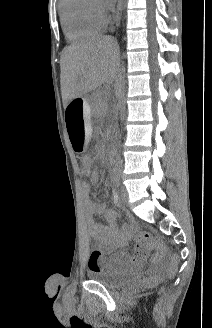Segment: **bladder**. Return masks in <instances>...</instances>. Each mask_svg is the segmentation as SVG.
I'll list each match as a JSON object with an SVG mask.
<instances>
[{
	"instance_id": "bladder-1",
	"label": "bladder",
	"mask_w": 212,
	"mask_h": 328,
	"mask_svg": "<svg viewBox=\"0 0 212 328\" xmlns=\"http://www.w3.org/2000/svg\"><path fill=\"white\" fill-rule=\"evenodd\" d=\"M90 280L99 282L109 289H120L135 280V273L114 270H91L87 273Z\"/></svg>"
}]
</instances>
